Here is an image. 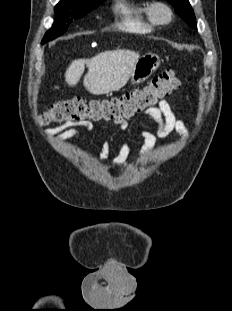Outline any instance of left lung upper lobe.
Segmentation results:
<instances>
[{"instance_id":"5c2ea615","label":"left lung upper lobe","mask_w":232,"mask_h":311,"mask_svg":"<svg viewBox=\"0 0 232 311\" xmlns=\"http://www.w3.org/2000/svg\"><path fill=\"white\" fill-rule=\"evenodd\" d=\"M173 5L176 13L186 21L192 28L197 29L195 15L189 0H167Z\"/></svg>"}]
</instances>
